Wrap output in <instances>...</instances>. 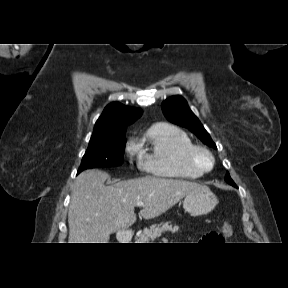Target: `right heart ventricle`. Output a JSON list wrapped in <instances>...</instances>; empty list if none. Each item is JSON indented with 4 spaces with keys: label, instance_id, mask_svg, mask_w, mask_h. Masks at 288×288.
Masks as SVG:
<instances>
[{
    "label": "right heart ventricle",
    "instance_id": "1",
    "mask_svg": "<svg viewBox=\"0 0 288 288\" xmlns=\"http://www.w3.org/2000/svg\"><path fill=\"white\" fill-rule=\"evenodd\" d=\"M192 145L180 128L168 123H155L137 142V150L141 166L147 172L164 178L192 180L203 175L186 161V152Z\"/></svg>",
    "mask_w": 288,
    "mask_h": 288
}]
</instances>
